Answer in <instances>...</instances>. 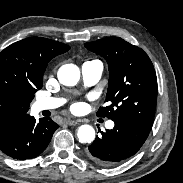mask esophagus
Masks as SVG:
<instances>
[{"mask_svg": "<svg viewBox=\"0 0 183 183\" xmlns=\"http://www.w3.org/2000/svg\"><path fill=\"white\" fill-rule=\"evenodd\" d=\"M65 122H66V124H68L70 126H75V125L79 124V122H81V120L68 119Z\"/></svg>", "mask_w": 183, "mask_h": 183, "instance_id": "1", "label": "esophagus"}]
</instances>
